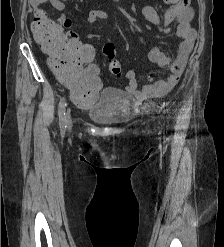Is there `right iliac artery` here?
Listing matches in <instances>:
<instances>
[{
	"label": "right iliac artery",
	"mask_w": 224,
	"mask_h": 247,
	"mask_svg": "<svg viewBox=\"0 0 224 247\" xmlns=\"http://www.w3.org/2000/svg\"><path fill=\"white\" fill-rule=\"evenodd\" d=\"M65 107H66V101L65 98H62L59 102V109H58V114H59V126L61 133L64 134L66 130V114H65Z\"/></svg>",
	"instance_id": "1"
}]
</instances>
